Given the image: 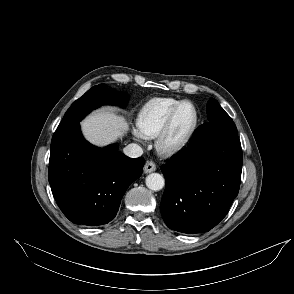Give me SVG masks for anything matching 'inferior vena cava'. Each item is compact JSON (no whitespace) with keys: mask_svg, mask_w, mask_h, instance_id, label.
I'll return each instance as SVG.
<instances>
[{"mask_svg":"<svg viewBox=\"0 0 294 294\" xmlns=\"http://www.w3.org/2000/svg\"><path fill=\"white\" fill-rule=\"evenodd\" d=\"M123 152L126 156L130 158H137L143 154L142 148L135 143L128 144L124 149Z\"/></svg>","mask_w":294,"mask_h":294,"instance_id":"1","label":"inferior vena cava"}]
</instances>
